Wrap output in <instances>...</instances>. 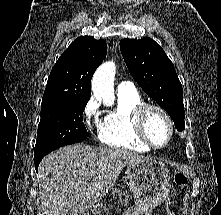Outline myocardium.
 Wrapping results in <instances>:
<instances>
[{
	"mask_svg": "<svg viewBox=\"0 0 221 215\" xmlns=\"http://www.w3.org/2000/svg\"><path fill=\"white\" fill-rule=\"evenodd\" d=\"M157 111L159 112L164 119L167 121L168 126H169V138L167 142L162 145V146H157L155 145L152 140L149 138L147 132H146V119L148 116V113L150 111ZM134 126H135V131L138 135V137L150 148L159 150V149H164L169 144L171 143L173 137H174V132H175V126L174 122L169 115V113L161 106L153 103H142L140 104L134 111Z\"/></svg>",
	"mask_w": 221,
	"mask_h": 215,
	"instance_id": "f54148a6",
	"label": "myocardium"
}]
</instances>
